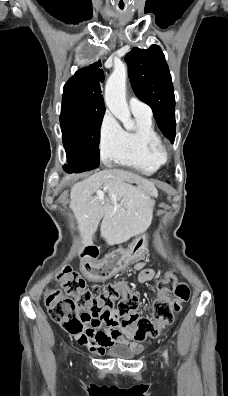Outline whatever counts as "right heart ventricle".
Instances as JSON below:
<instances>
[{
  "label": "right heart ventricle",
  "mask_w": 228,
  "mask_h": 396,
  "mask_svg": "<svg viewBox=\"0 0 228 396\" xmlns=\"http://www.w3.org/2000/svg\"><path fill=\"white\" fill-rule=\"evenodd\" d=\"M136 128L124 131L121 149L114 162L143 174L155 173L162 164L150 154V146L160 141L151 116L134 114Z\"/></svg>",
  "instance_id": "obj_1"
}]
</instances>
